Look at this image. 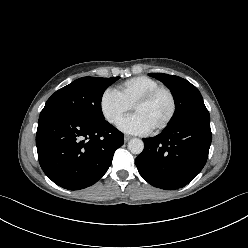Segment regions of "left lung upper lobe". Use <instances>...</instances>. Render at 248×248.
I'll return each mask as SVG.
<instances>
[{"mask_svg":"<svg viewBox=\"0 0 248 248\" xmlns=\"http://www.w3.org/2000/svg\"><path fill=\"white\" fill-rule=\"evenodd\" d=\"M150 76L163 82L172 92L175 101V112L166 127L208 111L199 90L187 80L164 73H150Z\"/></svg>","mask_w":248,"mask_h":248,"instance_id":"1","label":"left lung upper lobe"}]
</instances>
